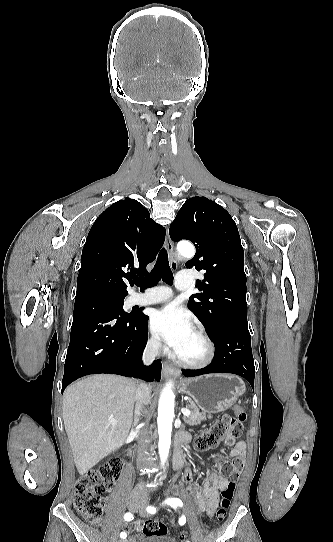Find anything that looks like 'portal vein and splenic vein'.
<instances>
[{
	"label": "portal vein and splenic vein",
	"mask_w": 333,
	"mask_h": 542,
	"mask_svg": "<svg viewBox=\"0 0 333 542\" xmlns=\"http://www.w3.org/2000/svg\"><path fill=\"white\" fill-rule=\"evenodd\" d=\"M181 412L184 416H190L191 414L190 410H187V408H181ZM110 424H112V426H117V422H110Z\"/></svg>",
	"instance_id": "18ae733b"
}]
</instances>
